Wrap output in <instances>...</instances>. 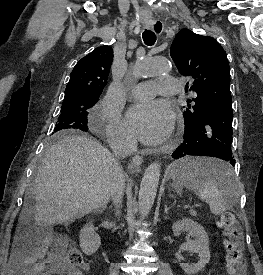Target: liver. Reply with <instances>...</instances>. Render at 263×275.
Wrapping results in <instances>:
<instances>
[{
  "label": "liver",
  "mask_w": 263,
  "mask_h": 275,
  "mask_svg": "<svg viewBox=\"0 0 263 275\" xmlns=\"http://www.w3.org/2000/svg\"><path fill=\"white\" fill-rule=\"evenodd\" d=\"M116 157L88 136H61L46 151L35 179L34 219L44 226L103 211L111 196ZM30 211L24 205L20 221Z\"/></svg>",
  "instance_id": "liver-1"
}]
</instances>
